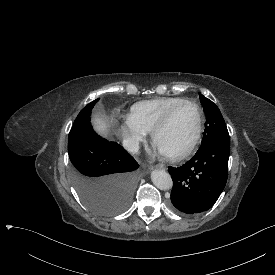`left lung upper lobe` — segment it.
Masks as SVG:
<instances>
[{"mask_svg":"<svg viewBox=\"0 0 275 275\" xmlns=\"http://www.w3.org/2000/svg\"><path fill=\"white\" fill-rule=\"evenodd\" d=\"M200 101L207 115L206 127L201 145L218 139L229 138L225 121L218 107L201 94Z\"/></svg>","mask_w":275,"mask_h":275,"instance_id":"left-lung-upper-lobe-1","label":"left lung upper lobe"}]
</instances>
